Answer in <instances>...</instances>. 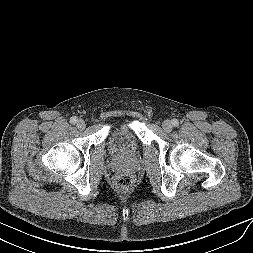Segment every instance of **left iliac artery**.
Returning <instances> with one entry per match:
<instances>
[{"label": "left iliac artery", "mask_w": 253, "mask_h": 253, "mask_svg": "<svg viewBox=\"0 0 253 253\" xmlns=\"http://www.w3.org/2000/svg\"><path fill=\"white\" fill-rule=\"evenodd\" d=\"M172 125L175 126V127H177L179 125L178 120L177 119H173L172 120Z\"/></svg>", "instance_id": "44dca946"}]
</instances>
